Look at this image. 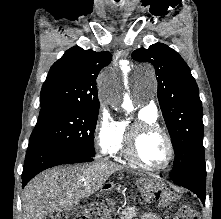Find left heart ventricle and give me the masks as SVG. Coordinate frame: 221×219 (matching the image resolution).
I'll return each instance as SVG.
<instances>
[{"instance_id":"b2bd125f","label":"left heart ventricle","mask_w":221,"mask_h":219,"mask_svg":"<svg viewBox=\"0 0 221 219\" xmlns=\"http://www.w3.org/2000/svg\"><path fill=\"white\" fill-rule=\"evenodd\" d=\"M138 155L149 166L161 167L168 156V147L164 137L159 133H147L138 142Z\"/></svg>"}]
</instances>
